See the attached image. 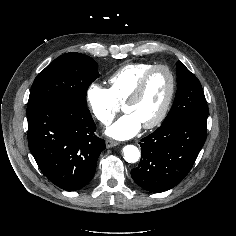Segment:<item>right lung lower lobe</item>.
<instances>
[{
	"label": "right lung lower lobe",
	"mask_w": 236,
	"mask_h": 236,
	"mask_svg": "<svg viewBox=\"0 0 236 236\" xmlns=\"http://www.w3.org/2000/svg\"><path fill=\"white\" fill-rule=\"evenodd\" d=\"M29 149L42 173L56 186L75 191L93 178L105 141L87 108L40 103L28 106Z\"/></svg>",
	"instance_id": "right-lung-lower-lobe-1"
}]
</instances>
